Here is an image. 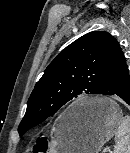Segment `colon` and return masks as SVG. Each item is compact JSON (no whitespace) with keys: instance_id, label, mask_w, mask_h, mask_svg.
I'll list each match as a JSON object with an SVG mask.
<instances>
[{"instance_id":"1","label":"colon","mask_w":130,"mask_h":153,"mask_svg":"<svg viewBox=\"0 0 130 153\" xmlns=\"http://www.w3.org/2000/svg\"><path fill=\"white\" fill-rule=\"evenodd\" d=\"M46 149H47V143L44 138H41L34 147V151L39 153L46 152Z\"/></svg>"}]
</instances>
